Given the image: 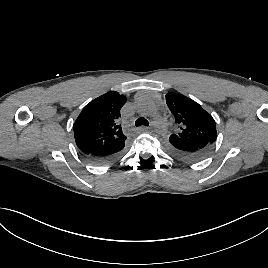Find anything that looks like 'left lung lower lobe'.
<instances>
[{
  "mask_svg": "<svg viewBox=\"0 0 268 268\" xmlns=\"http://www.w3.org/2000/svg\"><path fill=\"white\" fill-rule=\"evenodd\" d=\"M167 151L175 158L185 162H197L206 158L213 144L202 139H175L166 140Z\"/></svg>",
  "mask_w": 268,
  "mask_h": 268,
  "instance_id": "0a47b994",
  "label": "left lung lower lobe"
}]
</instances>
